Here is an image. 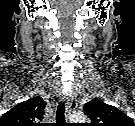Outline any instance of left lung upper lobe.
<instances>
[{
    "label": "left lung upper lobe",
    "mask_w": 135,
    "mask_h": 126,
    "mask_svg": "<svg viewBox=\"0 0 135 126\" xmlns=\"http://www.w3.org/2000/svg\"><path fill=\"white\" fill-rule=\"evenodd\" d=\"M90 126H135L132 119L112 105L95 98L84 105Z\"/></svg>",
    "instance_id": "5c2ea615"
}]
</instances>
